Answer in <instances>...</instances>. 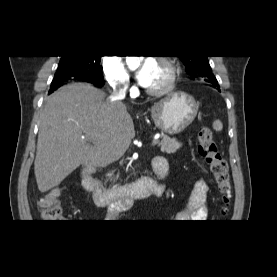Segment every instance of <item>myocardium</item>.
<instances>
[{"mask_svg": "<svg viewBox=\"0 0 277 277\" xmlns=\"http://www.w3.org/2000/svg\"><path fill=\"white\" fill-rule=\"evenodd\" d=\"M158 62L167 70V79L164 84L159 87L146 89V92L153 96H160L170 92L174 88L177 80V69L173 62L166 57L158 58Z\"/></svg>", "mask_w": 277, "mask_h": 277, "instance_id": "obj_1", "label": "myocardium"}]
</instances>
